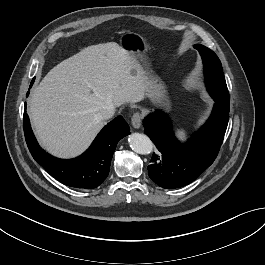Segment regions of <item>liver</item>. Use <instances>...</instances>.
Masks as SVG:
<instances>
[{"label":"liver","instance_id":"liver-1","mask_svg":"<svg viewBox=\"0 0 265 265\" xmlns=\"http://www.w3.org/2000/svg\"><path fill=\"white\" fill-rule=\"evenodd\" d=\"M149 80L115 42L89 46L51 69L29 98L39 143L61 158L80 155L104 126L98 114L144 99Z\"/></svg>","mask_w":265,"mask_h":265}]
</instances>
